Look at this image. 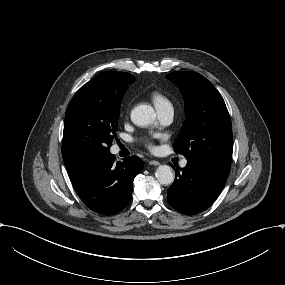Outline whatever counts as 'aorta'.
Masks as SVG:
<instances>
[{
  "label": "aorta",
  "instance_id": "762f6f07",
  "mask_svg": "<svg viewBox=\"0 0 285 285\" xmlns=\"http://www.w3.org/2000/svg\"><path fill=\"white\" fill-rule=\"evenodd\" d=\"M154 109L146 104L136 106L131 112V120L137 126L151 125L155 120ZM155 176L162 185H170L174 181V173L168 165H161L157 168Z\"/></svg>",
  "mask_w": 285,
  "mask_h": 285
}]
</instances>
